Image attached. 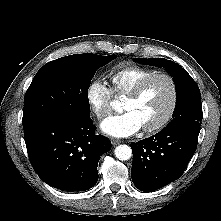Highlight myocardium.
Listing matches in <instances>:
<instances>
[{"label": "myocardium", "mask_w": 221, "mask_h": 221, "mask_svg": "<svg viewBox=\"0 0 221 221\" xmlns=\"http://www.w3.org/2000/svg\"><path fill=\"white\" fill-rule=\"evenodd\" d=\"M155 78H163L168 81V83L170 85V89H171V101H170V105H169L167 112L158 122H156L152 125L143 127V130L147 133L156 132V131L164 128L170 122L172 117L174 116V113L176 111L177 104H178L179 93H178L177 83L171 75L164 73V72H154V73L144 77L127 94V99H131V100L138 99L142 95L143 91L145 90L146 86L150 83V81H152Z\"/></svg>", "instance_id": "1"}]
</instances>
